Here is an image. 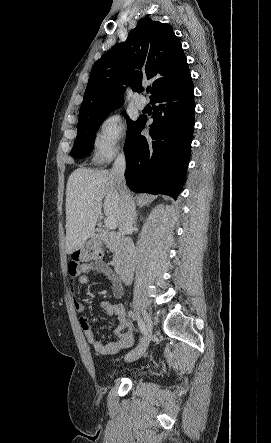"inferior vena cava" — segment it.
I'll return each instance as SVG.
<instances>
[{
    "label": "inferior vena cava",
    "mask_w": 271,
    "mask_h": 443,
    "mask_svg": "<svg viewBox=\"0 0 271 443\" xmlns=\"http://www.w3.org/2000/svg\"><path fill=\"white\" fill-rule=\"evenodd\" d=\"M126 170V160L124 154L117 156L110 176L115 184L116 190L120 194L122 204V218L119 223V231L124 235L132 231L135 220L134 202L129 194L124 178ZM135 267V247L131 237H125L123 245L120 247L119 253L115 255V269L121 275L126 285H131Z\"/></svg>",
    "instance_id": "1"
}]
</instances>
